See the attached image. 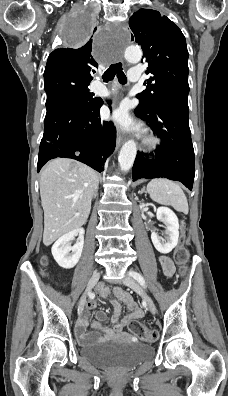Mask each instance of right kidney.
<instances>
[{"instance_id":"1","label":"right kidney","mask_w":228,"mask_h":396,"mask_svg":"<svg viewBox=\"0 0 228 396\" xmlns=\"http://www.w3.org/2000/svg\"><path fill=\"white\" fill-rule=\"evenodd\" d=\"M83 228H78L61 236L52 246V255L58 265L64 269L73 268L79 261L84 245ZM78 236L77 242L71 246V241ZM71 252V253H70Z\"/></svg>"}]
</instances>
